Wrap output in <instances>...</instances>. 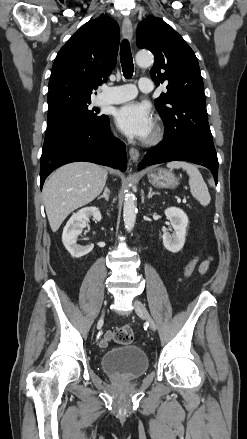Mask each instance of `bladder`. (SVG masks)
Segmentation results:
<instances>
[{
	"label": "bladder",
	"instance_id": "obj_1",
	"mask_svg": "<svg viewBox=\"0 0 247 439\" xmlns=\"http://www.w3.org/2000/svg\"><path fill=\"white\" fill-rule=\"evenodd\" d=\"M104 372L118 380H134L141 377L149 367L145 351L136 345L112 348L101 357Z\"/></svg>",
	"mask_w": 247,
	"mask_h": 439
}]
</instances>
